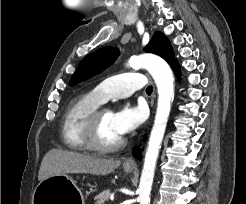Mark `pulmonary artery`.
<instances>
[{"mask_svg":"<svg viewBox=\"0 0 246 204\" xmlns=\"http://www.w3.org/2000/svg\"><path fill=\"white\" fill-rule=\"evenodd\" d=\"M146 84V77L142 73L127 72L103 80L92 90V93L103 103L112 98L129 97Z\"/></svg>","mask_w":246,"mask_h":204,"instance_id":"e3ab8cb5","label":"pulmonary artery"}]
</instances>
